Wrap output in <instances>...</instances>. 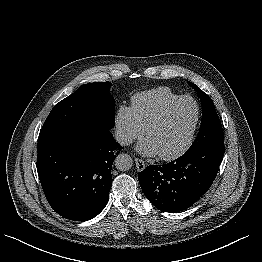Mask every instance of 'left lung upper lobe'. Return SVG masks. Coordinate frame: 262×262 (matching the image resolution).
Listing matches in <instances>:
<instances>
[{
	"label": "left lung upper lobe",
	"mask_w": 262,
	"mask_h": 262,
	"mask_svg": "<svg viewBox=\"0 0 262 262\" xmlns=\"http://www.w3.org/2000/svg\"><path fill=\"white\" fill-rule=\"evenodd\" d=\"M188 84L198 93L203 108L200 131L190 149L215 144L223 145L224 139L222 125L216 113L212 99L195 84L189 81Z\"/></svg>",
	"instance_id": "obj_1"
}]
</instances>
